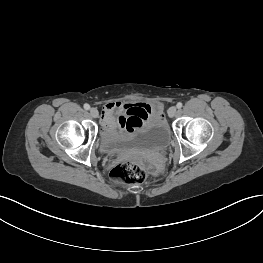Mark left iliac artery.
Returning a JSON list of instances; mask_svg holds the SVG:
<instances>
[{
	"label": "left iliac artery",
	"mask_w": 263,
	"mask_h": 263,
	"mask_svg": "<svg viewBox=\"0 0 263 263\" xmlns=\"http://www.w3.org/2000/svg\"><path fill=\"white\" fill-rule=\"evenodd\" d=\"M176 106H177L178 109H180V108H182L183 105H182L181 102H178Z\"/></svg>",
	"instance_id": "1"
}]
</instances>
